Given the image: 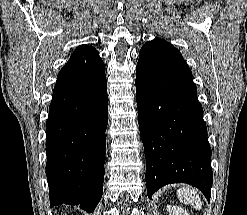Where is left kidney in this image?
Masks as SVG:
<instances>
[{
    "mask_svg": "<svg viewBox=\"0 0 247 215\" xmlns=\"http://www.w3.org/2000/svg\"><path fill=\"white\" fill-rule=\"evenodd\" d=\"M169 215H189L188 212L179 206H167Z\"/></svg>",
    "mask_w": 247,
    "mask_h": 215,
    "instance_id": "left-kidney-1",
    "label": "left kidney"
}]
</instances>
